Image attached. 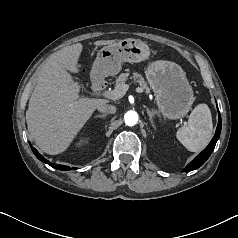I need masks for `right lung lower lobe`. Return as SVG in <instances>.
Returning <instances> with one entry per match:
<instances>
[{
	"mask_svg": "<svg viewBox=\"0 0 238 238\" xmlns=\"http://www.w3.org/2000/svg\"><path fill=\"white\" fill-rule=\"evenodd\" d=\"M31 146V145H30ZM33 153L36 155V157L41 160L42 162L46 163V164H49L51 167L55 168V169H58V170H69V166H65V165H59V164H53V163H50L48 160H46L42 155H40L38 153V151L34 148V147H31Z\"/></svg>",
	"mask_w": 238,
	"mask_h": 238,
	"instance_id": "obj_1",
	"label": "right lung lower lobe"
}]
</instances>
